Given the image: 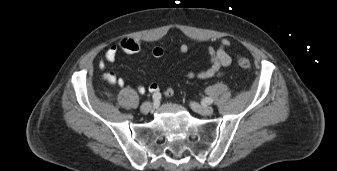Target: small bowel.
<instances>
[{
  "label": "small bowel",
  "instance_id": "obj_1",
  "mask_svg": "<svg viewBox=\"0 0 337 171\" xmlns=\"http://www.w3.org/2000/svg\"><path fill=\"white\" fill-rule=\"evenodd\" d=\"M231 46V42L227 39L221 41L219 47L208 46L206 51L209 56L208 67L204 70L193 72L189 71L185 73V77L188 79H210L222 74V69L232 64V58L229 55L227 49ZM141 44L136 39L124 38L121 39L118 44L110 46L104 54V59L98 63L99 68L102 70L101 78L111 85H115L121 88L126 86V82L123 78L117 77L113 72L107 71V63H113L119 51L124 53L133 54L139 52ZM188 46L186 44H180L178 51L181 54L188 52ZM152 54L156 58H160L164 54V50L160 46H156L152 50ZM159 85L156 82H151L148 86V90L152 93H159ZM138 92L143 94L146 88L142 85L138 86ZM166 95L172 94V88L166 90Z\"/></svg>",
  "mask_w": 337,
  "mask_h": 171
}]
</instances>
